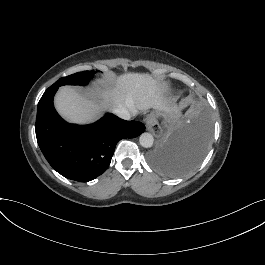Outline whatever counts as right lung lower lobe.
Wrapping results in <instances>:
<instances>
[{
  "label": "right lung lower lobe",
  "mask_w": 265,
  "mask_h": 265,
  "mask_svg": "<svg viewBox=\"0 0 265 265\" xmlns=\"http://www.w3.org/2000/svg\"><path fill=\"white\" fill-rule=\"evenodd\" d=\"M57 89V86L49 87L38 103L37 142L58 173L71 180L88 182L107 169L119 140L139 136L145 126L113 114H106L88 126L69 124L54 108L53 97Z\"/></svg>",
  "instance_id": "obj_1"
}]
</instances>
